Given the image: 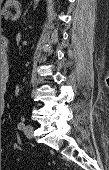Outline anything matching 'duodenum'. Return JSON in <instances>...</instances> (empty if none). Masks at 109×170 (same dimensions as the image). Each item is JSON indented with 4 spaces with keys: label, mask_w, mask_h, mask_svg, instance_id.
<instances>
[{
    "label": "duodenum",
    "mask_w": 109,
    "mask_h": 170,
    "mask_svg": "<svg viewBox=\"0 0 109 170\" xmlns=\"http://www.w3.org/2000/svg\"><path fill=\"white\" fill-rule=\"evenodd\" d=\"M7 46H8L7 39L6 38L1 39V52L3 54L4 62L7 61Z\"/></svg>",
    "instance_id": "obj_1"
}]
</instances>
